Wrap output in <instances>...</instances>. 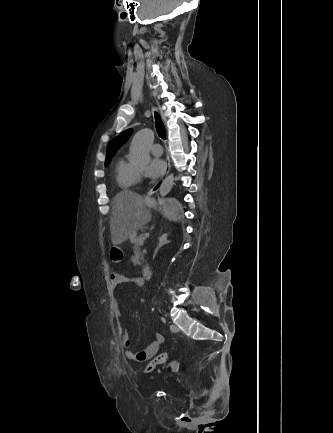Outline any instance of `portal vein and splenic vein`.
Returning <instances> with one entry per match:
<instances>
[{
  "label": "portal vein and splenic vein",
  "instance_id": "18ae733b",
  "mask_svg": "<svg viewBox=\"0 0 333 433\" xmlns=\"http://www.w3.org/2000/svg\"><path fill=\"white\" fill-rule=\"evenodd\" d=\"M143 242H144V237H140V238H139V243L142 245Z\"/></svg>",
  "mask_w": 333,
  "mask_h": 433
}]
</instances>
